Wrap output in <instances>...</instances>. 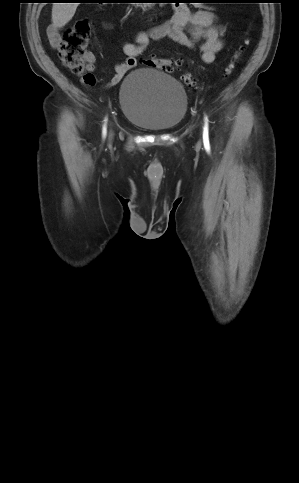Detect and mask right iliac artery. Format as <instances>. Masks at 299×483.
<instances>
[{
	"label": "right iliac artery",
	"instance_id": "right-iliac-artery-1",
	"mask_svg": "<svg viewBox=\"0 0 299 483\" xmlns=\"http://www.w3.org/2000/svg\"><path fill=\"white\" fill-rule=\"evenodd\" d=\"M105 133H106V128L104 127V131H103V134L105 135Z\"/></svg>",
	"mask_w": 299,
	"mask_h": 483
}]
</instances>
